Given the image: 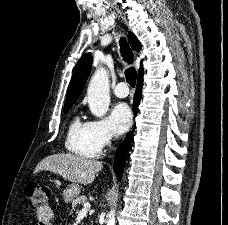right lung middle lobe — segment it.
Returning <instances> with one entry per match:
<instances>
[{
	"label": "right lung middle lobe",
	"mask_w": 228,
	"mask_h": 225,
	"mask_svg": "<svg viewBox=\"0 0 228 225\" xmlns=\"http://www.w3.org/2000/svg\"><path fill=\"white\" fill-rule=\"evenodd\" d=\"M72 105L66 106L64 107V113H67L69 111V109L71 108Z\"/></svg>",
	"instance_id": "dd1d6c3e"
}]
</instances>
